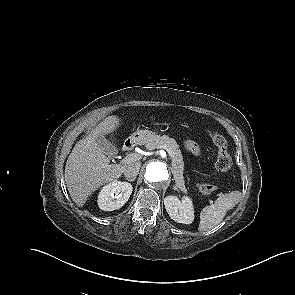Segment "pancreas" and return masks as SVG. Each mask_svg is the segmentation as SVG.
Instances as JSON below:
<instances>
[{
  "instance_id": "obj_1",
  "label": "pancreas",
  "mask_w": 295,
  "mask_h": 295,
  "mask_svg": "<svg viewBox=\"0 0 295 295\" xmlns=\"http://www.w3.org/2000/svg\"><path fill=\"white\" fill-rule=\"evenodd\" d=\"M146 148L153 150L159 148L160 146H166L171 150L172 153V173L176 183L177 188L183 193H187L185 187V181L183 177L184 163L179 145L173 138L168 136H159L157 135L153 140L145 144Z\"/></svg>"
}]
</instances>
